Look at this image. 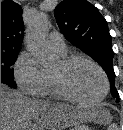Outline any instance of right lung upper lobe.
<instances>
[{
    "label": "right lung upper lobe",
    "mask_w": 123,
    "mask_h": 130,
    "mask_svg": "<svg viewBox=\"0 0 123 130\" xmlns=\"http://www.w3.org/2000/svg\"><path fill=\"white\" fill-rule=\"evenodd\" d=\"M22 8L12 0L1 2V51H19L24 25Z\"/></svg>",
    "instance_id": "right-lung-upper-lobe-1"
}]
</instances>
